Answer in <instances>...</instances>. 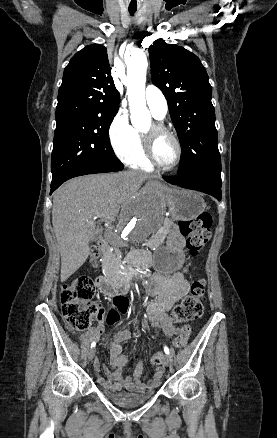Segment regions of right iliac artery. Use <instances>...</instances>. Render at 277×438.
Listing matches in <instances>:
<instances>
[{
  "label": "right iliac artery",
  "mask_w": 277,
  "mask_h": 438,
  "mask_svg": "<svg viewBox=\"0 0 277 438\" xmlns=\"http://www.w3.org/2000/svg\"><path fill=\"white\" fill-rule=\"evenodd\" d=\"M95 345H96V343H95V342H92V343H91V348H92V347H95Z\"/></svg>",
  "instance_id": "obj_1"
}]
</instances>
